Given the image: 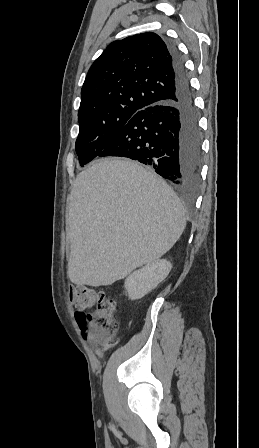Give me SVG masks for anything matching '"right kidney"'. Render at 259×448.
<instances>
[{
  "instance_id": "right-kidney-1",
  "label": "right kidney",
  "mask_w": 259,
  "mask_h": 448,
  "mask_svg": "<svg viewBox=\"0 0 259 448\" xmlns=\"http://www.w3.org/2000/svg\"><path fill=\"white\" fill-rule=\"evenodd\" d=\"M171 268L172 264L167 260H156V262L147 264L141 270L133 272L125 280V288L130 300H140L148 292L157 288L158 284L168 276Z\"/></svg>"
}]
</instances>
